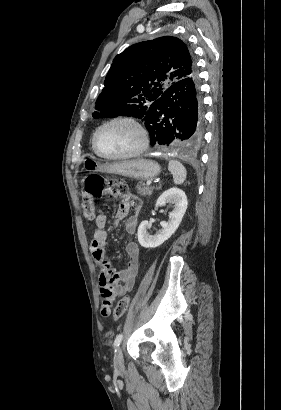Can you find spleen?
Listing matches in <instances>:
<instances>
[{"mask_svg": "<svg viewBox=\"0 0 281 410\" xmlns=\"http://www.w3.org/2000/svg\"><path fill=\"white\" fill-rule=\"evenodd\" d=\"M168 170L171 172L175 184H182L185 181L187 172L179 161L170 160Z\"/></svg>", "mask_w": 281, "mask_h": 410, "instance_id": "1", "label": "spleen"}]
</instances>
